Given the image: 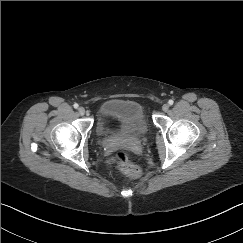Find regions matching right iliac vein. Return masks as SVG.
I'll list each match as a JSON object with an SVG mask.
<instances>
[{"label":"right iliac vein","instance_id":"obj_1","mask_svg":"<svg viewBox=\"0 0 243 243\" xmlns=\"http://www.w3.org/2000/svg\"><path fill=\"white\" fill-rule=\"evenodd\" d=\"M78 112L80 115H84L85 114V108L84 107H79L78 108Z\"/></svg>","mask_w":243,"mask_h":243}]
</instances>
